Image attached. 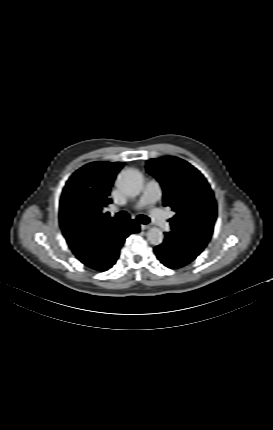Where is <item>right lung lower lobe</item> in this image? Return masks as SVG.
I'll use <instances>...</instances> for the list:
<instances>
[{"mask_svg":"<svg viewBox=\"0 0 273 430\" xmlns=\"http://www.w3.org/2000/svg\"><path fill=\"white\" fill-rule=\"evenodd\" d=\"M139 231L140 227L134 220L114 229L102 230L87 244L90 247V255L81 262L98 271L108 270L118 259L120 248L127 236ZM68 244L71 243L68 241Z\"/></svg>","mask_w":273,"mask_h":430,"instance_id":"98d812e1","label":"right lung lower lobe"}]
</instances>
